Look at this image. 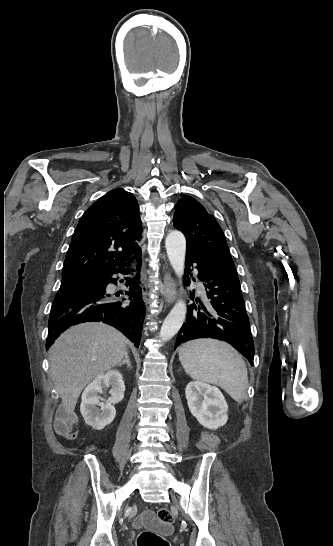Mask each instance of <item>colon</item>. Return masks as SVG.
I'll return each mask as SVG.
<instances>
[{
	"label": "colon",
	"instance_id": "5ec220e1",
	"mask_svg": "<svg viewBox=\"0 0 333 546\" xmlns=\"http://www.w3.org/2000/svg\"><path fill=\"white\" fill-rule=\"evenodd\" d=\"M157 518L163 524H172L174 522V515L168 508H160L157 511ZM137 546H169V544L157 533L144 530L138 536Z\"/></svg>",
	"mask_w": 333,
	"mask_h": 546
}]
</instances>
